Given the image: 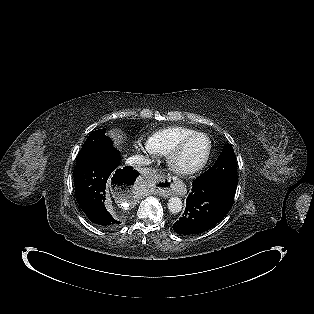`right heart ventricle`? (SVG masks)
Instances as JSON below:
<instances>
[{"label":"right heart ventricle","mask_w":314,"mask_h":314,"mask_svg":"<svg viewBox=\"0 0 314 314\" xmlns=\"http://www.w3.org/2000/svg\"><path fill=\"white\" fill-rule=\"evenodd\" d=\"M197 132L186 127H169L152 133L147 138L151 154L156 156L169 155L187 136Z\"/></svg>","instance_id":"obj_1"}]
</instances>
